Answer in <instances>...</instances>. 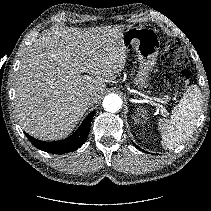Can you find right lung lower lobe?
Here are the masks:
<instances>
[{
  "label": "right lung lower lobe",
  "mask_w": 211,
  "mask_h": 211,
  "mask_svg": "<svg viewBox=\"0 0 211 211\" xmlns=\"http://www.w3.org/2000/svg\"><path fill=\"white\" fill-rule=\"evenodd\" d=\"M94 111L82 122L79 128L68 138L56 142H44L37 140L26 134L31 143L39 150L46 151L52 154H64L77 150L85 141L90 131L91 121Z\"/></svg>",
  "instance_id": "1"
}]
</instances>
